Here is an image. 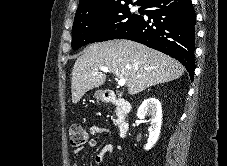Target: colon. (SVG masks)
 I'll list each match as a JSON object with an SVG mask.
<instances>
[{"instance_id":"1","label":"colon","mask_w":227,"mask_h":166,"mask_svg":"<svg viewBox=\"0 0 227 166\" xmlns=\"http://www.w3.org/2000/svg\"><path fill=\"white\" fill-rule=\"evenodd\" d=\"M70 144L73 147L87 145L90 142V136L87 131L78 125H72L68 129Z\"/></svg>"}]
</instances>
